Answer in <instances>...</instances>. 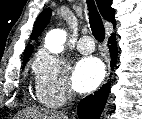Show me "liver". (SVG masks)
<instances>
[{"instance_id": "6515ba94", "label": "liver", "mask_w": 142, "mask_h": 119, "mask_svg": "<svg viewBox=\"0 0 142 119\" xmlns=\"http://www.w3.org/2000/svg\"><path fill=\"white\" fill-rule=\"evenodd\" d=\"M22 119H68L65 114H61L54 111L45 109H28L26 112L20 115Z\"/></svg>"}]
</instances>
